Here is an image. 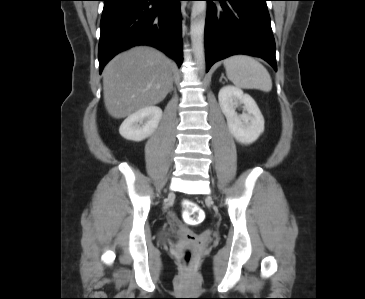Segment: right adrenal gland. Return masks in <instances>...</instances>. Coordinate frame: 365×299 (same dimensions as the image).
I'll return each instance as SVG.
<instances>
[{
	"label": "right adrenal gland",
	"instance_id": "right-adrenal-gland-1",
	"mask_svg": "<svg viewBox=\"0 0 365 299\" xmlns=\"http://www.w3.org/2000/svg\"><path fill=\"white\" fill-rule=\"evenodd\" d=\"M172 82H173V79H172ZM174 90V87H173V85H172V87H171V91H173Z\"/></svg>",
	"mask_w": 365,
	"mask_h": 299
}]
</instances>
